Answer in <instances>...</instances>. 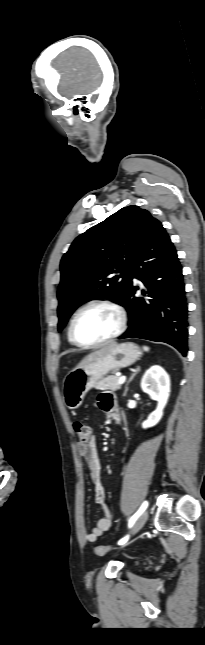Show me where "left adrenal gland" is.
Segmentation results:
<instances>
[{"mask_svg": "<svg viewBox=\"0 0 205 645\" xmlns=\"http://www.w3.org/2000/svg\"><path fill=\"white\" fill-rule=\"evenodd\" d=\"M138 370H139V367H137V368H136V371H138ZM136 371H135V372L130 376V378H129V380H128V382H127L126 386H125V391H124V394H123L124 396H126V394H127V392H128V385H129V383L133 380V378L135 377V375H136Z\"/></svg>", "mask_w": 205, "mask_h": 645, "instance_id": "obj_1", "label": "left adrenal gland"}]
</instances>
